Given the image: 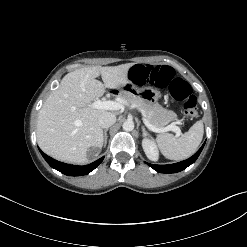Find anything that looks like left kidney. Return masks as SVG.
Segmentation results:
<instances>
[{"instance_id": "obj_1", "label": "left kidney", "mask_w": 247, "mask_h": 247, "mask_svg": "<svg viewBox=\"0 0 247 247\" xmlns=\"http://www.w3.org/2000/svg\"><path fill=\"white\" fill-rule=\"evenodd\" d=\"M142 147L149 160L158 161L159 152L153 139L144 138L142 140Z\"/></svg>"}]
</instances>
